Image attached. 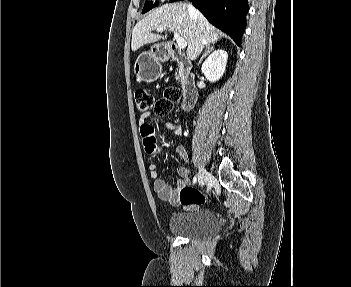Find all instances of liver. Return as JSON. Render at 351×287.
<instances>
[{
  "label": "liver",
  "instance_id": "6515ba94",
  "mask_svg": "<svg viewBox=\"0 0 351 287\" xmlns=\"http://www.w3.org/2000/svg\"><path fill=\"white\" fill-rule=\"evenodd\" d=\"M160 27L169 32H177L185 39L187 56L190 59H195L205 45L214 44L222 37V33L212 26L199 11L190 13L186 3H169L154 9L135 25L132 31V51H137L145 44L166 39L167 34L162 36L152 33L153 30Z\"/></svg>",
  "mask_w": 351,
  "mask_h": 287
}]
</instances>
